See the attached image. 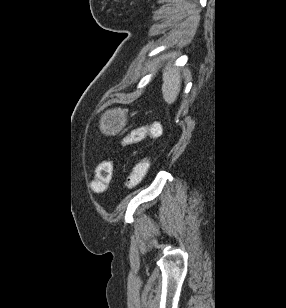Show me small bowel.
Returning <instances> with one entry per match:
<instances>
[{
    "instance_id": "1",
    "label": "small bowel",
    "mask_w": 286,
    "mask_h": 308,
    "mask_svg": "<svg viewBox=\"0 0 286 308\" xmlns=\"http://www.w3.org/2000/svg\"><path fill=\"white\" fill-rule=\"evenodd\" d=\"M154 123H157V122H151L150 124H154Z\"/></svg>"
}]
</instances>
